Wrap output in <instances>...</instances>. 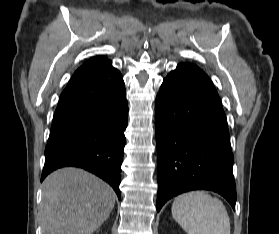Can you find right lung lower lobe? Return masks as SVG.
<instances>
[{"instance_id": "right-lung-lower-lobe-1", "label": "right lung lower lobe", "mask_w": 279, "mask_h": 234, "mask_svg": "<svg viewBox=\"0 0 279 234\" xmlns=\"http://www.w3.org/2000/svg\"><path fill=\"white\" fill-rule=\"evenodd\" d=\"M128 102L122 75L109 63L70 81L54 113L41 181L61 167H81L121 194Z\"/></svg>"}]
</instances>
